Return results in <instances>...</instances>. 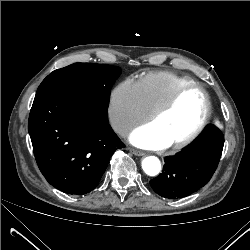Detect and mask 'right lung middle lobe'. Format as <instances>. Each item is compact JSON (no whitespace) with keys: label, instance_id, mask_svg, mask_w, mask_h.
Returning <instances> with one entry per match:
<instances>
[{"label":"right lung middle lobe","instance_id":"obj_1","mask_svg":"<svg viewBox=\"0 0 250 250\" xmlns=\"http://www.w3.org/2000/svg\"><path fill=\"white\" fill-rule=\"evenodd\" d=\"M120 74L121 69L117 66L74 63L49 74L36 95L50 90H66L108 107L111 87Z\"/></svg>","mask_w":250,"mask_h":250}]
</instances>
